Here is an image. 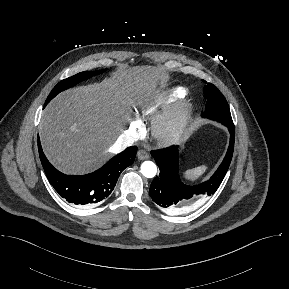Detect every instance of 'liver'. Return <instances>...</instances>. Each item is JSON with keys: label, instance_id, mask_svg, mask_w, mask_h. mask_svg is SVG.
<instances>
[{"label": "liver", "instance_id": "liver-1", "mask_svg": "<svg viewBox=\"0 0 289 289\" xmlns=\"http://www.w3.org/2000/svg\"><path fill=\"white\" fill-rule=\"evenodd\" d=\"M161 78L157 67H123L101 83L56 96L43 110L39 126L48 160L65 174L96 170L110 157L131 106L154 95Z\"/></svg>", "mask_w": 289, "mask_h": 289}]
</instances>
